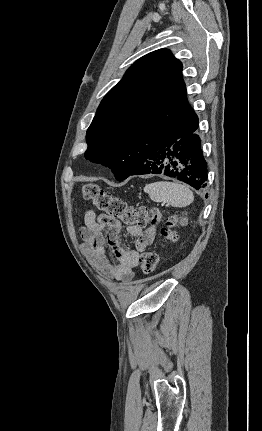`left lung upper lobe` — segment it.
Returning a JSON list of instances; mask_svg holds the SVG:
<instances>
[{"label": "left lung upper lobe", "mask_w": 262, "mask_h": 431, "mask_svg": "<svg viewBox=\"0 0 262 431\" xmlns=\"http://www.w3.org/2000/svg\"><path fill=\"white\" fill-rule=\"evenodd\" d=\"M181 73V62L167 49L137 60L101 101L87 130L85 158L122 181L139 157L196 122Z\"/></svg>", "instance_id": "obj_1"}]
</instances>
